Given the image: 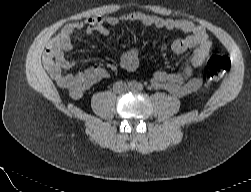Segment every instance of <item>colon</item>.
Returning a JSON list of instances; mask_svg holds the SVG:
<instances>
[{
  "instance_id": "obj_1",
  "label": "colon",
  "mask_w": 251,
  "mask_h": 192,
  "mask_svg": "<svg viewBox=\"0 0 251 192\" xmlns=\"http://www.w3.org/2000/svg\"><path fill=\"white\" fill-rule=\"evenodd\" d=\"M229 61L225 57L212 56L209 59V74L212 79L221 78L227 70Z\"/></svg>"
}]
</instances>
